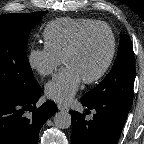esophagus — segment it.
<instances>
[{"mask_svg": "<svg viewBox=\"0 0 144 144\" xmlns=\"http://www.w3.org/2000/svg\"><path fill=\"white\" fill-rule=\"evenodd\" d=\"M57 108H58V110L63 111V112L69 111L68 107H66L65 105H62V104H58Z\"/></svg>", "mask_w": 144, "mask_h": 144, "instance_id": "obj_1", "label": "esophagus"}]
</instances>
